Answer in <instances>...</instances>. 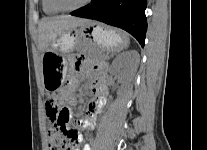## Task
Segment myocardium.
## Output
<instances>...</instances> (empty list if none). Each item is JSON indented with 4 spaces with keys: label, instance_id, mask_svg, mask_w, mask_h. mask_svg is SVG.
<instances>
[{
    "label": "myocardium",
    "instance_id": "1",
    "mask_svg": "<svg viewBox=\"0 0 207 150\" xmlns=\"http://www.w3.org/2000/svg\"><path fill=\"white\" fill-rule=\"evenodd\" d=\"M52 5L58 10V11H62V12H72V11H76L78 9H81L83 7H85L86 5H88L91 0H84L82 1L80 4L74 6V7H65L63 6L59 0H50Z\"/></svg>",
    "mask_w": 207,
    "mask_h": 150
}]
</instances>
